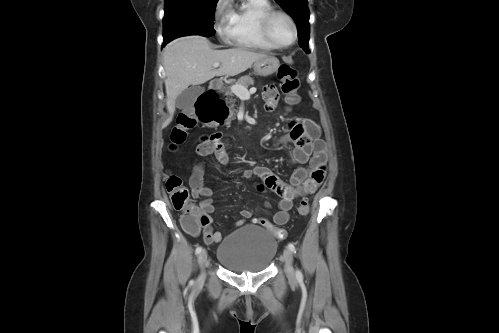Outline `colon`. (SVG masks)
<instances>
[{
	"mask_svg": "<svg viewBox=\"0 0 499 333\" xmlns=\"http://www.w3.org/2000/svg\"><path fill=\"white\" fill-rule=\"evenodd\" d=\"M278 78L281 82V90L285 95V102L288 107H294L301 101V96L298 92L300 82L295 69L289 65H282L278 70ZM213 106L215 108V116L208 121L209 124L220 123L227 114V108L224 102L216 93L210 95ZM197 124V119L190 114H180L176 125L170 133L171 148L183 144L187 138L188 132ZM166 190L170 195L171 202L175 209L183 212L182 224L186 230L192 233H198L201 228L207 227L209 219L195 203L189 200L188 189L184 186L182 179L177 175H169L166 183ZM309 212V203L307 199H303L297 208V213L300 216H306ZM260 225L268 228L276 238L284 239L286 237L285 230L275 227L266 219H258ZM204 238H210V233L205 231Z\"/></svg>",
	"mask_w": 499,
	"mask_h": 333,
	"instance_id": "1",
	"label": "colon"
}]
</instances>
